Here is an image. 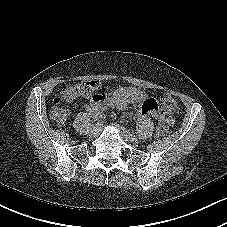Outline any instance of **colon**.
I'll return each instance as SVG.
<instances>
[{
    "mask_svg": "<svg viewBox=\"0 0 227 227\" xmlns=\"http://www.w3.org/2000/svg\"><path fill=\"white\" fill-rule=\"evenodd\" d=\"M99 89L100 84L97 81H79L74 85L66 87L61 92L60 96L55 98L53 101L50 113L51 118L56 124L64 125L70 115L66 103L71 102L77 97L92 99L104 98L105 96L98 94ZM159 99L160 105L167 115V119L158 126L156 134L163 137L169 133V123L172 115L178 110V103L167 93L160 94Z\"/></svg>",
    "mask_w": 227,
    "mask_h": 227,
    "instance_id": "5ec220e1",
    "label": "colon"
}]
</instances>
